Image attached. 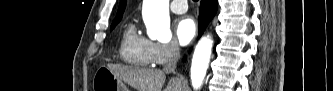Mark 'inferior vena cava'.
<instances>
[{
    "instance_id": "602c4592",
    "label": "inferior vena cava",
    "mask_w": 333,
    "mask_h": 91,
    "mask_svg": "<svg viewBox=\"0 0 333 91\" xmlns=\"http://www.w3.org/2000/svg\"><path fill=\"white\" fill-rule=\"evenodd\" d=\"M179 58H180L179 45L177 42H171L169 46L167 62L163 68L164 72L166 73L174 72Z\"/></svg>"
}]
</instances>
